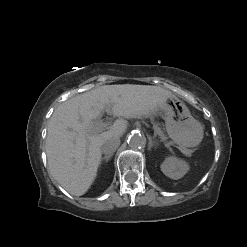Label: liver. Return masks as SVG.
<instances>
[{
  "instance_id": "1",
  "label": "liver",
  "mask_w": 247,
  "mask_h": 247,
  "mask_svg": "<svg viewBox=\"0 0 247 247\" xmlns=\"http://www.w3.org/2000/svg\"><path fill=\"white\" fill-rule=\"evenodd\" d=\"M172 93L151 85H104L60 104L48 124L46 154L51 176L70 194H85L94 182L101 161V145L120 138L127 129L121 120L107 131L95 130L93 120L106 110L117 117H149Z\"/></svg>"
}]
</instances>
